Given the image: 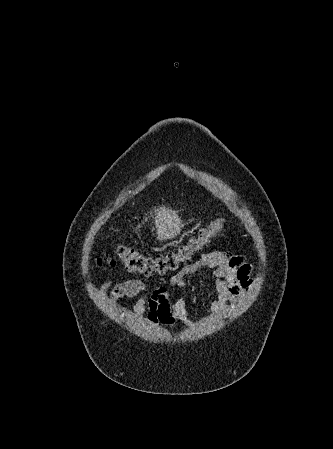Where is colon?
<instances>
[{"label":"colon","instance_id":"obj_1","mask_svg":"<svg viewBox=\"0 0 333 449\" xmlns=\"http://www.w3.org/2000/svg\"><path fill=\"white\" fill-rule=\"evenodd\" d=\"M223 227L224 220L217 219L206 228L201 229L196 236L179 246L176 250L155 257L144 256L130 247H120L116 255L131 272H138L144 275L164 274L176 269L180 263L189 260L212 237L217 235ZM115 262L114 257L110 255L97 259L99 266H113Z\"/></svg>","mask_w":333,"mask_h":449}]
</instances>
